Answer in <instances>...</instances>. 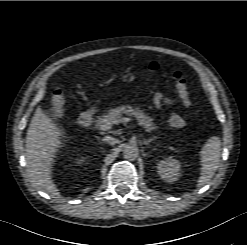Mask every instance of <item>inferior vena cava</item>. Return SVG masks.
<instances>
[{
    "label": "inferior vena cava",
    "mask_w": 247,
    "mask_h": 245,
    "mask_svg": "<svg viewBox=\"0 0 247 245\" xmlns=\"http://www.w3.org/2000/svg\"><path fill=\"white\" fill-rule=\"evenodd\" d=\"M103 141H105V142H107V143H109L111 145H114V144H116L118 142V140L116 138H113L111 136H105L103 138Z\"/></svg>",
    "instance_id": "obj_1"
}]
</instances>
